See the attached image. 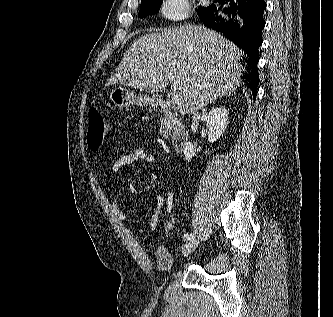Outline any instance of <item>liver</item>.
<instances>
[{"label":"liver","mask_w":333,"mask_h":317,"mask_svg":"<svg viewBox=\"0 0 333 317\" xmlns=\"http://www.w3.org/2000/svg\"><path fill=\"white\" fill-rule=\"evenodd\" d=\"M243 53L231 41L202 26L165 28L139 37L125 52L109 84L159 93L172 83L180 111L192 114L235 92Z\"/></svg>","instance_id":"obj_1"}]
</instances>
